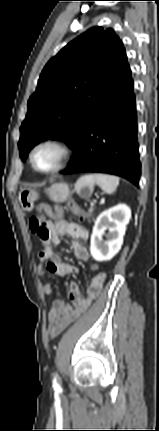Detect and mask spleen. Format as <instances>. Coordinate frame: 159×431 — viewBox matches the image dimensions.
Instances as JSON below:
<instances>
[{
  "instance_id": "obj_1",
  "label": "spleen",
  "mask_w": 159,
  "mask_h": 431,
  "mask_svg": "<svg viewBox=\"0 0 159 431\" xmlns=\"http://www.w3.org/2000/svg\"><path fill=\"white\" fill-rule=\"evenodd\" d=\"M82 183L98 185L103 191L112 194L119 185V178L107 174H88L80 178Z\"/></svg>"
}]
</instances>
